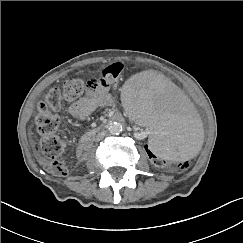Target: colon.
<instances>
[{
  "instance_id": "obj_1",
  "label": "colon",
  "mask_w": 243,
  "mask_h": 243,
  "mask_svg": "<svg viewBox=\"0 0 243 243\" xmlns=\"http://www.w3.org/2000/svg\"><path fill=\"white\" fill-rule=\"evenodd\" d=\"M123 71V64L114 62L99 72L98 76L88 79L69 77L63 82L62 88L51 89L36 107L35 125L41 140L38 151L43 155V165L50 173L62 176L66 174L63 154L66 142L56 135L60 119L56 114L61 107L62 100H75L80 97L86 88L96 84L115 85ZM143 152L156 167H168L170 162L157 156L149 147L145 139L140 141ZM195 167L194 161L173 162L174 170H188Z\"/></svg>"
}]
</instances>
